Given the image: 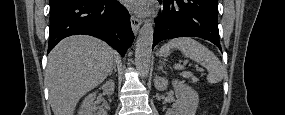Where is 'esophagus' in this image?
Masks as SVG:
<instances>
[{
	"label": "esophagus",
	"instance_id": "34e87169",
	"mask_svg": "<svg viewBox=\"0 0 285 115\" xmlns=\"http://www.w3.org/2000/svg\"><path fill=\"white\" fill-rule=\"evenodd\" d=\"M131 26H132V30L134 32V34L136 35L139 31V28L141 26V20L135 16V15H131Z\"/></svg>",
	"mask_w": 285,
	"mask_h": 115
}]
</instances>
